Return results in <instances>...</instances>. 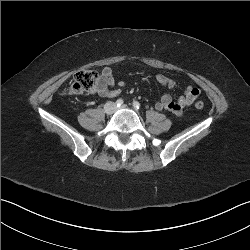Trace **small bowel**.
Returning <instances> with one entry per match:
<instances>
[{
  "instance_id": "1",
  "label": "small bowel",
  "mask_w": 250,
  "mask_h": 250,
  "mask_svg": "<svg viewBox=\"0 0 250 250\" xmlns=\"http://www.w3.org/2000/svg\"><path fill=\"white\" fill-rule=\"evenodd\" d=\"M154 79L157 83L168 89H173L176 86V80L174 78L163 74L155 75ZM124 87V82L115 81L113 71L110 67L106 66L102 69L101 78L97 87L98 96L101 98H114L122 93ZM199 94V89L188 86L184 94L176 100H174L170 94H164L155 104V108L157 110H167L177 116H181L184 109L192 105Z\"/></svg>"
}]
</instances>
